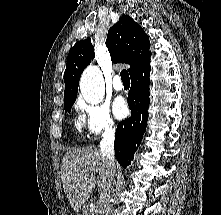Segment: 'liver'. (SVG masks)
I'll return each mask as SVG.
<instances>
[{
  "label": "liver",
  "instance_id": "liver-1",
  "mask_svg": "<svg viewBox=\"0 0 221 215\" xmlns=\"http://www.w3.org/2000/svg\"><path fill=\"white\" fill-rule=\"evenodd\" d=\"M108 178L107 162L98 148L71 149L63 157L61 181L67 199L75 212H79L89 199L95 185L98 186L102 196L108 184Z\"/></svg>",
  "mask_w": 221,
  "mask_h": 215
}]
</instances>
